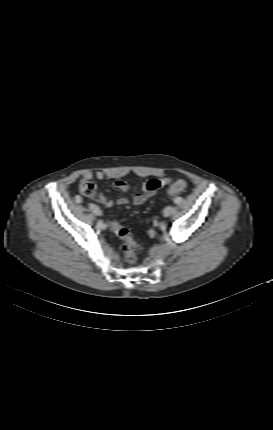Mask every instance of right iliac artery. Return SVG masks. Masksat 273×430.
<instances>
[{"mask_svg": "<svg viewBox=\"0 0 273 430\" xmlns=\"http://www.w3.org/2000/svg\"><path fill=\"white\" fill-rule=\"evenodd\" d=\"M75 199H76V202H77V203H80V204H81V203L83 202V201L81 200V197H80V196H76V197H75Z\"/></svg>", "mask_w": 273, "mask_h": 430, "instance_id": "1", "label": "right iliac artery"}]
</instances>
